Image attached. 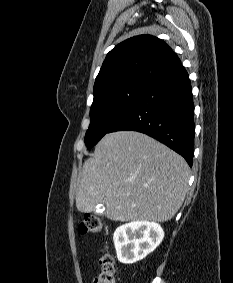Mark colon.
<instances>
[{
    "label": "colon",
    "instance_id": "5ec220e1",
    "mask_svg": "<svg viewBox=\"0 0 233 283\" xmlns=\"http://www.w3.org/2000/svg\"><path fill=\"white\" fill-rule=\"evenodd\" d=\"M102 229L101 219L93 214H86L78 226L81 235L98 234ZM101 273L91 283H116L114 258L105 253L100 258Z\"/></svg>",
    "mask_w": 233,
    "mask_h": 283
}]
</instances>
